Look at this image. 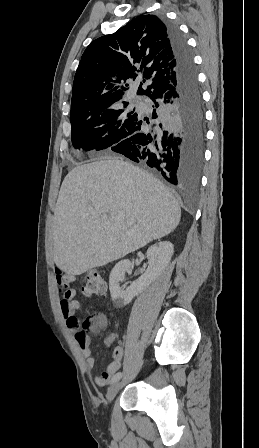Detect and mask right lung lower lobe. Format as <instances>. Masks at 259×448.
Returning a JSON list of instances; mask_svg holds the SVG:
<instances>
[{
	"instance_id": "98d812e1",
	"label": "right lung lower lobe",
	"mask_w": 259,
	"mask_h": 448,
	"mask_svg": "<svg viewBox=\"0 0 259 448\" xmlns=\"http://www.w3.org/2000/svg\"><path fill=\"white\" fill-rule=\"evenodd\" d=\"M174 55L176 84L151 97L149 126L141 116L110 149L135 162L147 163L175 186H196L203 167L205 117L192 52L179 29L165 20Z\"/></svg>"
}]
</instances>
